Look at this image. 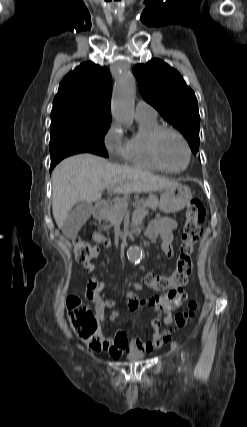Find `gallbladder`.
I'll list each match as a JSON object with an SVG mask.
<instances>
[{
    "instance_id": "bac80fb5",
    "label": "gallbladder",
    "mask_w": 247,
    "mask_h": 427,
    "mask_svg": "<svg viewBox=\"0 0 247 427\" xmlns=\"http://www.w3.org/2000/svg\"><path fill=\"white\" fill-rule=\"evenodd\" d=\"M93 206L88 202H78L63 222L62 231L67 238H74L92 213Z\"/></svg>"
}]
</instances>
